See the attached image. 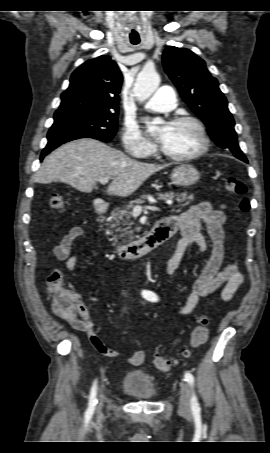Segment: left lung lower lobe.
<instances>
[{"label":"left lung lower lobe","mask_w":270,"mask_h":453,"mask_svg":"<svg viewBox=\"0 0 270 453\" xmlns=\"http://www.w3.org/2000/svg\"><path fill=\"white\" fill-rule=\"evenodd\" d=\"M238 159H240V160H242V161H244L246 163L248 162L245 156H240V157H238Z\"/></svg>","instance_id":"left-lung-lower-lobe-1"}]
</instances>
